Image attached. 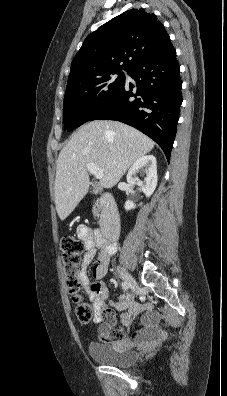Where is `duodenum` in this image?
<instances>
[{"label":"duodenum","instance_id":"obj_1","mask_svg":"<svg viewBox=\"0 0 227 396\" xmlns=\"http://www.w3.org/2000/svg\"><path fill=\"white\" fill-rule=\"evenodd\" d=\"M98 202L102 208V226L99 239L107 245L115 244L120 233V217L116 202L110 193H98Z\"/></svg>","mask_w":227,"mask_h":396}]
</instances>
